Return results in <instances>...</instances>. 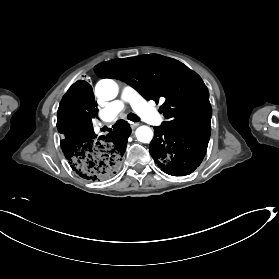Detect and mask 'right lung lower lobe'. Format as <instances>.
<instances>
[{
	"mask_svg": "<svg viewBox=\"0 0 279 279\" xmlns=\"http://www.w3.org/2000/svg\"><path fill=\"white\" fill-rule=\"evenodd\" d=\"M92 87L74 83L63 96L57 112L62 151L72 170L87 180L104 181L116 174L125 153L130 127L119 120L106 136L97 137L92 118L97 114Z\"/></svg>",
	"mask_w": 279,
	"mask_h": 279,
	"instance_id": "1",
	"label": "right lung lower lobe"
}]
</instances>
